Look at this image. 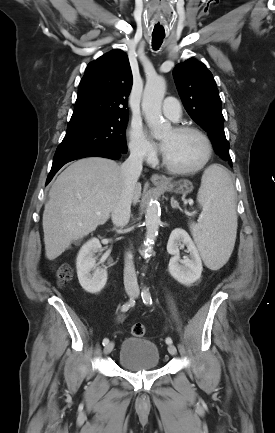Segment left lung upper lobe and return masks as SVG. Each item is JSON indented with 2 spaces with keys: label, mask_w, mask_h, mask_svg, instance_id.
<instances>
[{
  "label": "left lung upper lobe",
  "mask_w": 275,
  "mask_h": 433,
  "mask_svg": "<svg viewBox=\"0 0 275 433\" xmlns=\"http://www.w3.org/2000/svg\"><path fill=\"white\" fill-rule=\"evenodd\" d=\"M173 76L186 111L208 132L216 153L231 163L221 99L211 72L203 63L191 58L178 64Z\"/></svg>",
  "instance_id": "5c2ea615"
}]
</instances>
